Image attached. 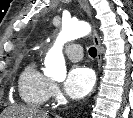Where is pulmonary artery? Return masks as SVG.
I'll return each instance as SVG.
<instances>
[{"label":"pulmonary artery","mask_w":133,"mask_h":118,"mask_svg":"<svg viewBox=\"0 0 133 118\" xmlns=\"http://www.w3.org/2000/svg\"><path fill=\"white\" fill-rule=\"evenodd\" d=\"M66 56L72 61H80L83 57L82 46L79 43H71L65 49Z\"/></svg>","instance_id":"pulmonary-artery-1"}]
</instances>
